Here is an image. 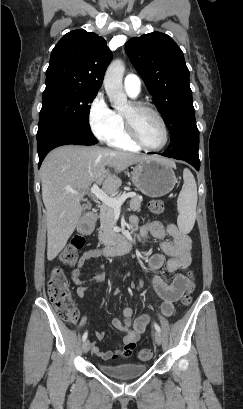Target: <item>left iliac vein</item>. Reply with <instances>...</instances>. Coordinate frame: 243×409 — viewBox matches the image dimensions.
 I'll use <instances>...</instances> for the list:
<instances>
[{
	"label": "left iliac vein",
	"instance_id": "left-iliac-vein-1",
	"mask_svg": "<svg viewBox=\"0 0 243 409\" xmlns=\"http://www.w3.org/2000/svg\"><path fill=\"white\" fill-rule=\"evenodd\" d=\"M154 339L157 345H161L162 344V335L160 334V332L156 331L154 333Z\"/></svg>",
	"mask_w": 243,
	"mask_h": 409
}]
</instances>
